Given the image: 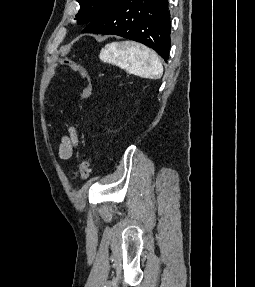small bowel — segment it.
<instances>
[{"instance_id":"c3829d8e","label":"small bowel","mask_w":255,"mask_h":287,"mask_svg":"<svg viewBox=\"0 0 255 287\" xmlns=\"http://www.w3.org/2000/svg\"><path fill=\"white\" fill-rule=\"evenodd\" d=\"M78 146L76 127H70L68 134L63 135L60 140L58 157L61 160H68Z\"/></svg>"}]
</instances>
